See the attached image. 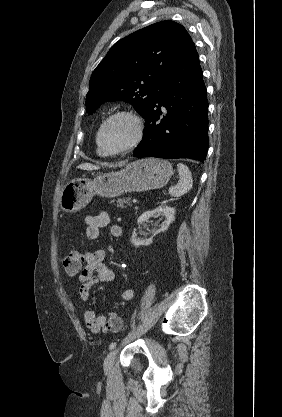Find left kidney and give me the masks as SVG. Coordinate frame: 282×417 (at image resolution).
I'll return each instance as SVG.
<instances>
[{
	"mask_svg": "<svg viewBox=\"0 0 282 417\" xmlns=\"http://www.w3.org/2000/svg\"><path fill=\"white\" fill-rule=\"evenodd\" d=\"M154 215H156V217H160V215L165 217V221H163L161 229L153 231L150 239H139V237H137L138 233H136L137 229H134L131 237V243H133L135 247H140V245L147 247V245H151V243H153V237L158 235V233H162V231H167L169 225L175 221V211L172 209V206H168L166 202H161V204H159L157 209H154V211H146V213L140 215L137 219V225H146V223H148V219H150V217H154Z\"/></svg>",
	"mask_w": 282,
	"mask_h": 417,
	"instance_id": "obj_1",
	"label": "left kidney"
}]
</instances>
